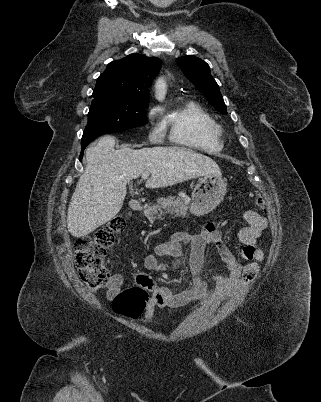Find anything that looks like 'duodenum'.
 Listing matches in <instances>:
<instances>
[{
  "label": "duodenum",
  "instance_id": "1",
  "mask_svg": "<svg viewBox=\"0 0 321 402\" xmlns=\"http://www.w3.org/2000/svg\"><path fill=\"white\" fill-rule=\"evenodd\" d=\"M142 207H143L142 202L138 199H133L130 202V208L132 211H140Z\"/></svg>",
  "mask_w": 321,
  "mask_h": 402
}]
</instances>
